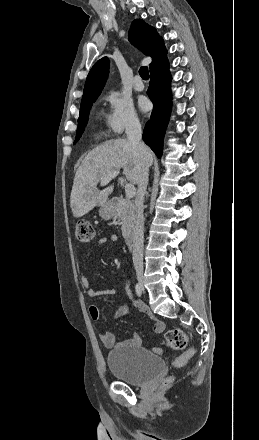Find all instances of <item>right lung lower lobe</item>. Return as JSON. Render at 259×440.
Listing matches in <instances>:
<instances>
[{
	"instance_id": "right-lung-lower-lobe-1",
	"label": "right lung lower lobe",
	"mask_w": 259,
	"mask_h": 440,
	"mask_svg": "<svg viewBox=\"0 0 259 440\" xmlns=\"http://www.w3.org/2000/svg\"><path fill=\"white\" fill-rule=\"evenodd\" d=\"M150 77L151 81L147 94L154 107L150 120L145 125L143 140L160 158L162 155L164 132L172 105L170 89L172 77L169 72L167 58L150 70Z\"/></svg>"
}]
</instances>
